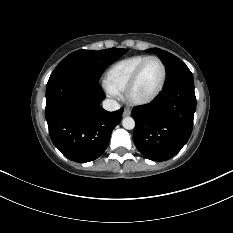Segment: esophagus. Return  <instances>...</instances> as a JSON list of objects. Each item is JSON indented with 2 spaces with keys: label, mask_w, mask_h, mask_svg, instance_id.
<instances>
[{
  "label": "esophagus",
  "mask_w": 233,
  "mask_h": 233,
  "mask_svg": "<svg viewBox=\"0 0 233 233\" xmlns=\"http://www.w3.org/2000/svg\"><path fill=\"white\" fill-rule=\"evenodd\" d=\"M131 114V110L129 108H125L123 111V116H129Z\"/></svg>",
  "instance_id": "obj_1"
}]
</instances>
